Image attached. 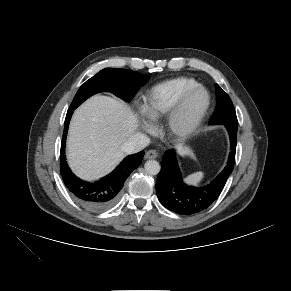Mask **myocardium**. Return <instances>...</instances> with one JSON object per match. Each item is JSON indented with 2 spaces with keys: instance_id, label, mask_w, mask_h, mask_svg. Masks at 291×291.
Returning <instances> with one entry per match:
<instances>
[{
  "instance_id": "myocardium-1",
  "label": "myocardium",
  "mask_w": 291,
  "mask_h": 291,
  "mask_svg": "<svg viewBox=\"0 0 291 291\" xmlns=\"http://www.w3.org/2000/svg\"><path fill=\"white\" fill-rule=\"evenodd\" d=\"M197 92H203L205 95V102L201 110L197 115L187 123H182L181 118L185 110V107L189 100ZM211 105V95L206 87L201 84H198L189 90H187L182 97L178 100L176 105L168 114L167 118V130L172 137L178 139H185L194 134L203 120L205 119Z\"/></svg>"
}]
</instances>
